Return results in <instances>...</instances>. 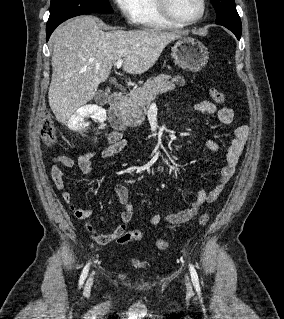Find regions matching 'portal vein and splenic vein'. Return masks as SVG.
I'll return each mask as SVG.
<instances>
[{"instance_id":"portal-vein-and-splenic-vein-1","label":"portal vein and splenic vein","mask_w":284,"mask_h":319,"mask_svg":"<svg viewBox=\"0 0 284 319\" xmlns=\"http://www.w3.org/2000/svg\"><path fill=\"white\" fill-rule=\"evenodd\" d=\"M122 64H123V59H118V60L116 61V67H117L118 69L122 66Z\"/></svg>"}]
</instances>
